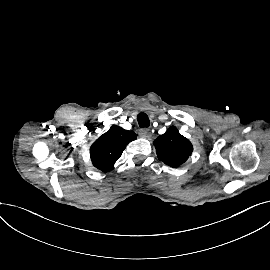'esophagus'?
<instances>
[{
    "instance_id": "34e87169",
    "label": "esophagus",
    "mask_w": 270,
    "mask_h": 270,
    "mask_svg": "<svg viewBox=\"0 0 270 270\" xmlns=\"http://www.w3.org/2000/svg\"><path fill=\"white\" fill-rule=\"evenodd\" d=\"M139 135L142 138H149L151 136V132L148 128H143V129H140Z\"/></svg>"
}]
</instances>
